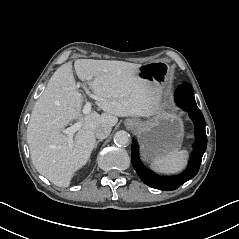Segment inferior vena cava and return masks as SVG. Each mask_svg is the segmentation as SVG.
<instances>
[{
    "label": "inferior vena cava",
    "mask_w": 239,
    "mask_h": 239,
    "mask_svg": "<svg viewBox=\"0 0 239 239\" xmlns=\"http://www.w3.org/2000/svg\"><path fill=\"white\" fill-rule=\"evenodd\" d=\"M111 127L109 125H101L95 130V137L97 139H105L111 132Z\"/></svg>",
    "instance_id": "602c4592"
}]
</instances>
